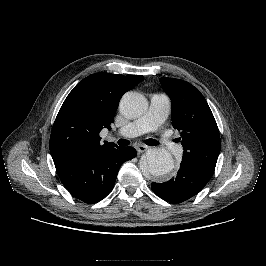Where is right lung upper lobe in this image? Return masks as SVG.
Listing matches in <instances>:
<instances>
[{
    "label": "right lung upper lobe",
    "mask_w": 266,
    "mask_h": 266,
    "mask_svg": "<svg viewBox=\"0 0 266 266\" xmlns=\"http://www.w3.org/2000/svg\"><path fill=\"white\" fill-rule=\"evenodd\" d=\"M142 75L95 73L69 93L54 122L50 137L53 160L114 146L100 144L99 133L111 129L122 95L143 80Z\"/></svg>",
    "instance_id": "obj_1"
}]
</instances>
